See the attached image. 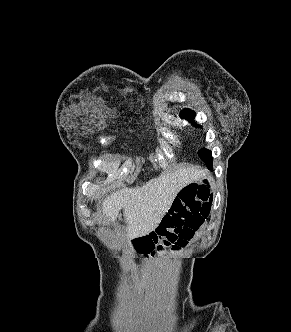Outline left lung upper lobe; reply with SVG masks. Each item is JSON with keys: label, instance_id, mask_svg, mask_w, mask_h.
<instances>
[{"label": "left lung upper lobe", "instance_id": "obj_1", "mask_svg": "<svg viewBox=\"0 0 291 332\" xmlns=\"http://www.w3.org/2000/svg\"><path fill=\"white\" fill-rule=\"evenodd\" d=\"M195 115L196 114L194 111L184 109L181 112L180 117L191 122L194 119ZM192 124L194 123L192 122ZM198 155L209 168H212V154L210 150L203 148L198 151Z\"/></svg>", "mask_w": 291, "mask_h": 332}]
</instances>
